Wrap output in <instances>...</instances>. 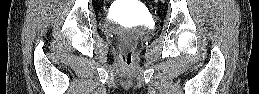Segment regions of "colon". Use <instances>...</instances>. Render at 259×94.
I'll use <instances>...</instances> for the list:
<instances>
[{"instance_id":"5ec220e1","label":"colon","mask_w":259,"mask_h":94,"mask_svg":"<svg viewBox=\"0 0 259 94\" xmlns=\"http://www.w3.org/2000/svg\"><path fill=\"white\" fill-rule=\"evenodd\" d=\"M121 51V60L124 66L129 67L132 64V46L131 39L122 40L119 44Z\"/></svg>"}]
</instances>
